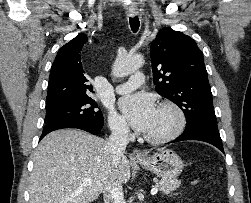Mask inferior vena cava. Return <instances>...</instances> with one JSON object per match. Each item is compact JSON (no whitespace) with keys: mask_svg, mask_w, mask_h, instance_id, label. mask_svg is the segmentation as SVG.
Returning a JSON list of instances; mask_svg holds the SVG:
<instances>
[{"mask_svg":"<svg viewBox=\"0 0 251 203\" xmlns=\"http://www.w3.org/2000/svg\"><path fill=\"white\" fill-rule=\"evenodd\" d=\"M111 130L112 133L107 142V149L112 156L113 164L117 165L129 143V128L125 123L117 122L111 126ZM103 196L104 203H123L122 183L112 178L106 183Z\"/></svg>","mask_w":251,"mask_h":203,"instance_id":"1","label":"inferior vena cava"}]
</instances>
